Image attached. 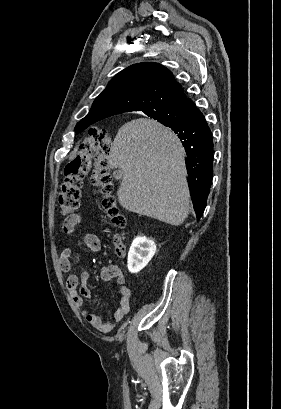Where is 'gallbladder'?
Wrapping results in <instances>:
<instances>
[{
  "label": "gallbladder",
  "instance_id": "1",
  "mask_svg": "<svg viewBox=\"0 0 281 409\" xmlns=\"http://www.w3.org/2000/svg\"><path fill=\"white\" fill-rule=\"evenodd\" d=\"M115 178H120L121 176V172H119V170H115V172H113Z\"/></svg>",
  "mask_w": 281,
  "mask_h": 409
}]
</instances>
